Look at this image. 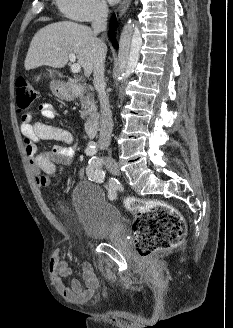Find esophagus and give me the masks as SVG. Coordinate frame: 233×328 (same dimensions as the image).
Listing matches in <instances>:
<instances>
[{"mask_svg": "<svg viewBox=\"0 0 233 328\" xmlns=\"http://www.w3.org/2000/svg\"><path fill=\"white\" fill-rule=\"evenodd\" d=\"M130 4H131V0H123L122 3L120 4L119 8L117 9V13L120 16L123 15L127 11Z\"/></svg>", "mask_w": 233, "mask_h": 328, "instance_id": "1", "label": "esophagus"}]
</instances>
